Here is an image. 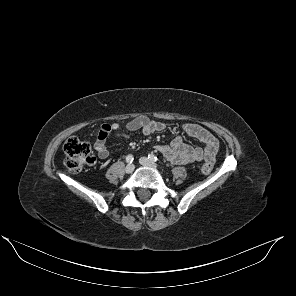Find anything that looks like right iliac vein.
<instances>
[{
  "mask_svg": "<svg viewBox=\"0 0 296 296\" xmlns=\"http://www.w3.org/2000/svg\"><path fill=\"white\" fill-rule=\"evenodd\" d=\"M134 165L133 164H128L127 166H126V168H125V172L127 173V174H130V173H132L133 171H134Z\"/></svg>",
  "mask_w": 296,
  "mask_h": 296,
  "instance_id": "obj_1",
  "label": "right iliac vein"
}]
</instances>
